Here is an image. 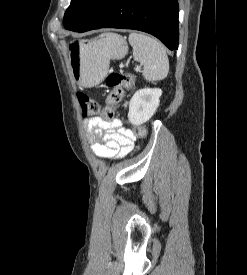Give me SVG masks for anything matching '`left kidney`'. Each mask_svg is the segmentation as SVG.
<instances>
[{"label": "left kidney", "mask_w": 247, "mask_h": 275, "mask_svg": "<svg viewBox=\"0 0 247 275\" xmlns=\"http://www.w3.org/2000/svg\"><path fill=\"white\" fill-rule=\"evenodd\" d=\"M162 90L159 88H144L138 90L129 102L128 119L133 125L147 122L156 112Z\"/></svg>", "instance_id": "left-kidney-1"}]
</instances>
